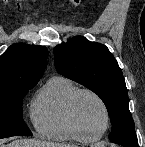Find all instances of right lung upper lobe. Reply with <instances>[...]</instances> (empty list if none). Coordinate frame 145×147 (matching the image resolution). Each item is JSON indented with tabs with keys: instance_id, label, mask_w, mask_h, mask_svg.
Masks as SVG:
<instances>
[{
	"instance_id": "1",
	"label": "right lung upper lobe",
	"mask_w": 145,
	"mask_h": 147,
	"mask_svg": "<svg viewBox=\"0 0 145 147\" xmlns=\"http://www.w3.org/2000/svg\"><path fill=\"white\" fill-rule=\"evenodd\" d=\"M44 46L16 43L0 56V91L35 86L47 65Z\"/></svg>"
}]
</instances>
